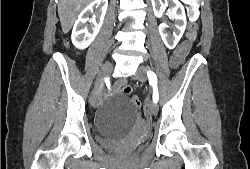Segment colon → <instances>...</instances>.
Wrapping results in <instances>:
<instances>
[{"instance_id": "colon-1", "label": "colon", "mask_w": 250, "mask_h": 169, "mask_svg": "<svg viewBox=\"0 0 250 169\" xmlns=\"http://www.w3.org/2000/svg\"><path fill=\"white\" fill-rule=\"evenodd\" d=\"M198 23L196 20H189L188 22V32H187V37L188 39H194L196 34H197V28H198ZM61 43H72V38H61ZM178 53L175 55H170L169 57L171 58L169 61V66H171V69H179V61H178ZM183 55V54H181ZM131 85H124L123 87V95H130V90H131ZM132 102H134L135 108L138 111L141 105V99L140 95H133L132 97ZM138 115L140 114L139 112L137 113Z\"/></svg>"}]
</instances>
